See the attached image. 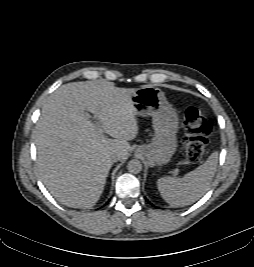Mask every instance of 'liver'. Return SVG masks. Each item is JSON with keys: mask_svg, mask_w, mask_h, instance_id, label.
I'll return each instance as SVG.
<instances>
[{"mask_svg": "<svg viewBox=\"0 0 254 267\" xmlns=\"http://www.w3.org/2000/svg\"><path fill=\"white\" fill-rule=\"evenodd\" d=\"M136 90L105 81L71 82L47 98L32 132L36 171L61 204L94 206L114 163L112 157L118 156L120 161L127 158L128 141L139 132L131 101ZM85 110L94 114L100 129Z\"/></svg>", "mask_w": 254, "mask_h": 267, "instance_id": "6515ba94", "label": "liver"}]
</instances>
